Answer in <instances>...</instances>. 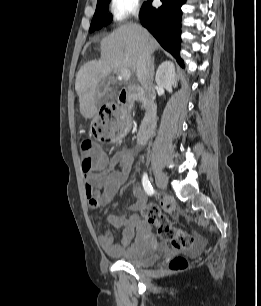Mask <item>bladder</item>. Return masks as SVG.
Here are the masks:
<instances>
[{"label": "bladder", "mask_w": 261, "mask_h": 306, "mask_svg": "<svg viewBox=\"0 0 261 306\" xmlns=\"http://www.w3.org/2000/svg\"><path fill=\"white\" fill-rule=\"evenodd\" d=\"M160 257L158 247L148 239H141L132 253L121 257V261L132 266L148 267L156 264Z\"/></svg>", "instance_id": "31cf9c89"}]
</instances>
